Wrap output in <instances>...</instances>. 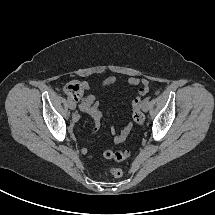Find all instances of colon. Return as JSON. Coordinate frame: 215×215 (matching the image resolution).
Segmentation results:
<instances>
[{
    "instance_id": "1",
    "label": "colon",
    "mask_w": 215,
    "mask_h": 215,
    "mask_svg": "<svg viewBox=\"0 0 215 215\" xmlns=\"http://www.w3.org/2000/svg\"><path fill=\"white\" fill-rule=\"evenodd\" d=\"M147 91H148L147 88L142 87L139 90L138 96H136L132 101V117L135 123L138 125H142L144 123V115L141 112V103H142L143 96L147 93ZM64 92L69 97L77 100L79 97H81L83 93L82 82L78 80H71L67 82L64 87ZM104 156L114 161H123L130 156V151L129 150H121V151L106 150L104 152ZM108 173L114 178H119L123 175V170L119 167L112 166L108 168Z\"/></svg>"
}]
</instances>
